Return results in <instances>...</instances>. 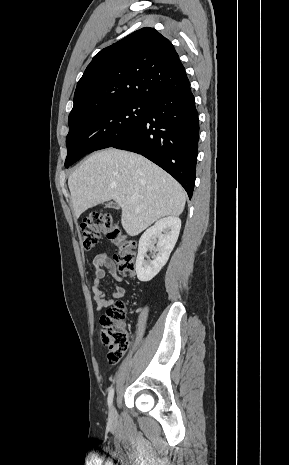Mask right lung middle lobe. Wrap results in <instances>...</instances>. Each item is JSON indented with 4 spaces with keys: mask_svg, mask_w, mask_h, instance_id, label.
<instances>
[{
    "mask_svg": "<svg viewBox=\"0 0 289 465\" xmlns=\"http://www.w3.org/2000/svg\"><path fill=\"white\" fill-rule=\"evenodd\" d=\"M149 103L147 100H126L88 108L86 117L69 128L65 167L90 152L111 147L125 138L144 121Z\"/></svg>",
    "mask_w": 289,
    "mask_h": 465,
    "instance_id": "right-lung-middle-lobe-1",
    "label": "right lung middle lobe"
}]
</instances>
